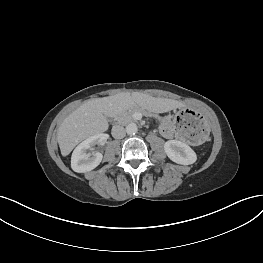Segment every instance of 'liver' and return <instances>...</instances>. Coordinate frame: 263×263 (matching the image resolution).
Wrapping results in <instances>:
<instances>
[{
  "label": "liver",
  "instance_id": "6515ba94",
  "mask_svg": "<svg viewBox=\"0 0 263 263\" xmlns=\"http://www.w3.org/2000/svg\"><path fill=\"white\" fill-rule=\"evenodd\" d=\"M135 106L164 113L182 107L183 103L139 92L88 100L69 114L58 129L57 141L62 156H67L82 140L105 132L109 127L107 117H117Z\"/></svg>",
  "mask_w": 263,
  "mask_h": 263
}]
</instances>
